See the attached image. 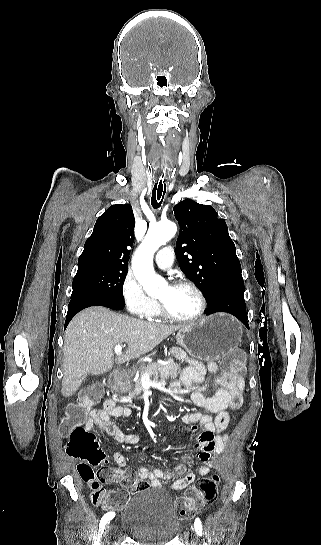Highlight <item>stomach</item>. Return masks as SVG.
<instances>
[{
    "mask_svg": "<svg viewBox=\"0 0 321 545\" xmlns=\"http://www.w3.org/2000/svg\"><path fill=\"white\" fill-rule=\"evenodd\" d=\"M241 337V323L235 317L215 313L179 329L175 339L194 359L215 361L238 349Z\"/></svg>",
    "mask_w": 321,
    "mask_h": 545,
    "instance_id": "stomach-1",
    "label": "stomach"
}]
</instances>
